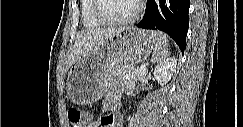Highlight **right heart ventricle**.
<instances>
[{"label": "right heart ventricle", "mask_w": 243, "mask_h": 127, "mask_svg": "<svg viewBox=\"0 0 243 127\" xmlns=\"http://www.w3.org/2000/svg\"><path fill=\"white\" fill-rule=\"evenodd\" d=\"M81 21L85 28L95 29L104 26L94 15V0H82L80 2Z\"/></svg>", "instance_id": "e07e8e85"}]
</instances>
